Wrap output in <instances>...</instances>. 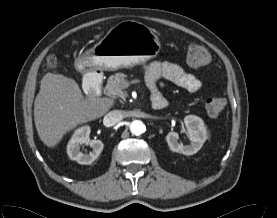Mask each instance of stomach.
I'll return each mask as SVG.
<instances>
[{"mask_svg": "<svg viewBox=\"0 0 277 218\" xmlns=\"http://www.w3.org/2000/svg\"><path fill=\"white\" fill-rule=\"evenodd\" d=\"M161 45L157 35L145 24L126 20L112 27L76 65L84 71H114L155 58Z\"/></svg>", "mask_w": 277, "mask_h": 218, "instance_id": "stomach-1", "label": "stomach"}]
</instances>
